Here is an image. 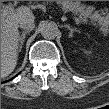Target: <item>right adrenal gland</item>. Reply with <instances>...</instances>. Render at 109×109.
<instances>
[{
  "label": "right adrenal gland",
  "mask_w": 109,
  "mask_h": 109,
  "mask_svg": "<svg viewBox=\"0 0 109 109\" xmlns=\"http://www.w3.org/2000/svg\"><path fill=\"white\" fill-rule=\"evenodd\" d=\"M30 31H23L22 34L18 38V52L21 51L23 47V43L25 41L26 34L29 33Z\"/></svg>",
  "instance_id": "2a0ac1e0"
}]
</instances>
